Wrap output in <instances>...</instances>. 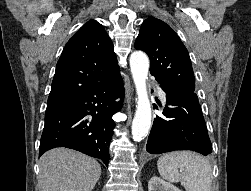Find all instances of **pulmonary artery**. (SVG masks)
Listing matches in <instances>:
<instances>
[{
  "instance_id": "1",
  "label": "pulmonary artery",
  "mask_w": 251,
  "mask_h": 191,
  "mask_svg": "<svg viewBox=\"0 0 251 191\" xmlns=\"http://www.w3.org/2000/svg\"><path fill=\"white\" fill-rule=\"evenodd\" d=\"M157 90H158V93H159L160 97L162 99H164L165 98V94H164L163 90L159 86H157Z\"/></svg>"
}]
</instances>
